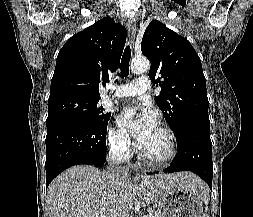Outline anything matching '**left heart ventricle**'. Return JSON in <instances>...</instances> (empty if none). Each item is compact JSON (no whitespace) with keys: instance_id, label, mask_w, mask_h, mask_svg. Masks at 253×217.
I'll list each match as a JSON object with an SVG mask.
<instances>
[{"instance_id":"b2bd125f","label":"left heart ventricle","mask_w":253,"mask_h":217,"mask_svg":"<svg viewBox=\"0 0 253 217\" xmlns=\"http://www.w3.org/2000/svg\"><path fill=\"white\" fill-rule=\"evenodd\" d=\"M142 152L151 159H162L169 151L166 134L157 126L139 142Z\"/></svg>"}]
</instances>
